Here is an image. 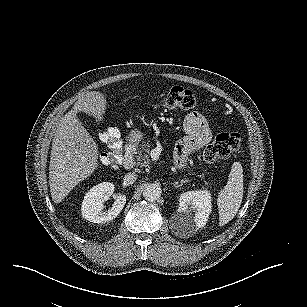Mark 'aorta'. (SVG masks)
Wrapping results in <instances>:
<instances>
[{
    "instance_id": "aorta-1",
    "label": "aorta",
    "mask_w": 307,
    "mask_h": 307,
    "mask_svg": "<svg viewBox=\"0 0 307 307\" xmlns=\"http://www.w3.org/2000/svg\"><path fill=\"white\" fill-rule=\"evenodd\" d=\"M161 195H162L161 186L154 183L148 184L143 191V196L148 201H156L161 197Z\"/></svg>"
}]
</instances>
